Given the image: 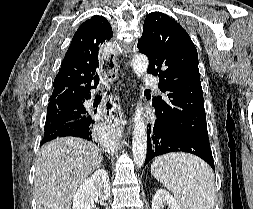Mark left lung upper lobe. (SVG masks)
<instances>
[{"label":"left lung upper lobe","mask_w":253,"mask_h":209,"mask_svg":"<svg viewBox=\"0 0 253 209\" xmlns=\"http://www.w3.org/2000/svg\"><path fill=\"white\" fill-rule=\"evenodd\" d=\"M137 47L149 59L147 72L158 76L167 96L152 100L157 119L209 144L198 54L188 33L168 15L152 12L145 18Z\"/></svg>","instance_id":"1"}]
</instances>
